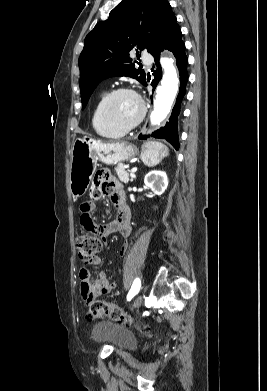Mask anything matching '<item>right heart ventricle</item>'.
<instances>
[{
    "label": "right heart ventricle",
    "instance_id": "e07e8e85",
    "mask_svg": "<svg viewBox=\"0 0 267 391\" xmlns=\"http://www.w3.org/2000/svg\"><path fill=\"white\" fill-rule=\"evenodd\" d=\"M107 94H102L98 98L92 113V126L97 134L106 138H118L124 134V132L119 131L111 127L103 116V102Z\"/></svg>",
    "mask_w": 267,
    "mask_h": 391
}]
</instances>
